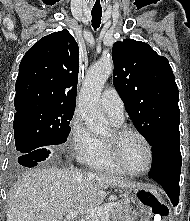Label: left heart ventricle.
<instances>
[{
  "instance_id": "obj_1",
  "label": "left heart ventricle",
  "mask_w": 190,
  "mask_h": 221,
  "mask_svg": "<svg viewBox=\"0 0 190 221\" xmlns=\"http://www.w3.org/2000/svg\"><path fill=\"white\" fill-rule=\"evenodd\" d=\"M120 151L122 160L129 169L140 171L146 167L148 152L143 141L135 134H127L123 137Z\"/></svg>"
}]
</instances>
